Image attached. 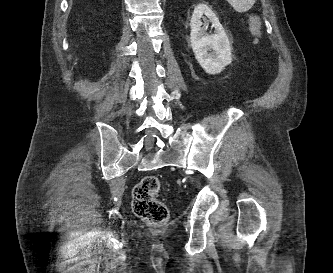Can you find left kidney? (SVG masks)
I'll use <instances>...</instances> for the list:
<instances>
[{"label": "left kidney", "instance_id": "1", "mask_svg": "<svg viewBox=\"0 0 333 273\" xmlns=\"http://www.w3.org/2000/svg\"><path fill=\"white\" fill-rule=\"evenodd\" d=\"M209 22L215 28L211 35L206 29ZM190 27L191 47L198 63L208 74L220 73L232 62V53L230 41L217 16L207 4L200 3L194 8Z\"/></svg>", "mask_w": 333, "mask_h": 273}]
</instances>
